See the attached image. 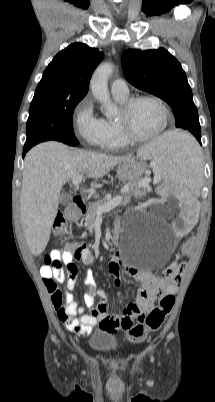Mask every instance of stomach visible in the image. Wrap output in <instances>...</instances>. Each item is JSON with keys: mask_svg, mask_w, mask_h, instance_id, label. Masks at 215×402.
Wrapping results in <instances>:
<instances>
[{"mask_svg": "<svg viewBox=\"0 0 215 402\" xmlns=\"http://www.w3.org/2000/svg\"><path fill=\"white\" fill-rule=\"evenodd\" d=\"M146 170V165L142 158L127 156L119 163L116 175L123 183L139 181Z\"/></svg>", "mask_w": 215, "mask_h": 402, "instance_id": "obj_1", "label": "stomach"}]
</instances>
